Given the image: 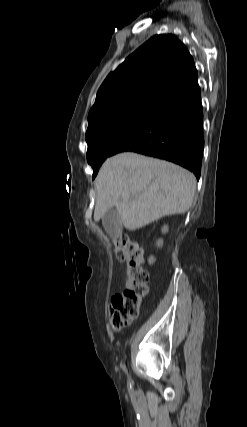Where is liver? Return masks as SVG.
<instances>
[{
    "label": "liver",
    "instance_id": "1",
    "mask_svg": "<svg viewBox=\"0 0 247 427\" xmlns=\"http://www.w3.org/2000/svg\"><path fill=\"white\" fill-rule=\"evenodd\" d=\"M95 187L94 220L116 207L124 227L134 231L164 216L187 212L196 179L171 162L124 152L103 163Z\"/></svg>",
    "mask_w": 247,
    "mask_h": 427
}]
</instances>
